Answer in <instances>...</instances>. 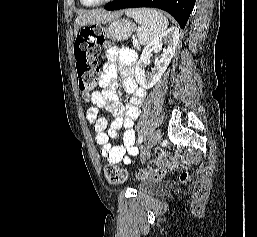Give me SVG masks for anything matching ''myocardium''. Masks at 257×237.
Instances as JSON below:
<instances>
[{
  "instance_id": "myocardium-1",
  "label": "myocardium",
  "mask_w": 257,
  "mask_h": 237,
  "mask_svg": "<svg viewBox=\"0 0 257 237\" xmlns=\"http://www.w3.org/2000/svg\"><path fill=\"white\" fill-rule=\"evenodd\" d=\"M113 0H101L99 2H95V3H87L84 0H81V2L85 5V6H89V7H93V6H99V5H104L107 4L109 2H111Z\"/></svg>"
}]
</instances>
